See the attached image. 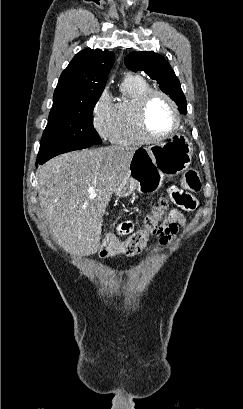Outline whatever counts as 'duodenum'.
I'll return each instance as SVG.
<instances>
[{
    "label": "duodenum",
    "mask_w": 243,
    "mask_h": 409,
    "mask_svg": "<svg viewBox=\"0 0 243 409\" xmlns=\"http://www.w3.org/2000/svg\"><path fill=\"white\" fill-rule=\"evenodd\" d=\"M129 228V225H127V224H124L123 226H122V229H124V230H126V229H128Z\"/></svg>",
    "instance_id": "duodenum-1"
}]
</instances>
